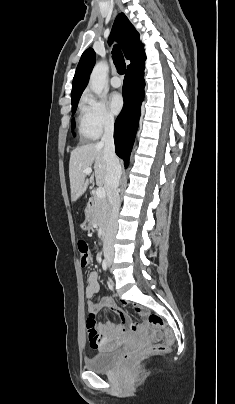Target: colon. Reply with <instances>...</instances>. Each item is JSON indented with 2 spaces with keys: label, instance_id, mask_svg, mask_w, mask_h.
I'll list each match as a JSON object with an SVG mask.
<instances>
[{
  "label": "colon",
  "instance_id": "colon-1",
  "mask_svg": "<svg viewBox=\"0 0 235 404\" xmlns=\"http://www.w3.org/2000/svg\"><path fill=\"white\" fill-rule=\"evenodd\" d=\"M78 252L80 255V265L82 268H86L91 260V251L85 241L78 242ZM135 312L138 316L143 318V321L132 322L130 327L132 329H142L143 327H147V332L152 337V339L156 341L163 340L162 343L153 345L151 350L165 352L173 343L174 337L163 318L155 313H150L146 309L141 307H136ZM95 327V319L89 317L87 320V330L91 343H99L100 341ZM130 359V357H126V360Z\"/></svg>",
  "mask_w": 235,
  "mask_h": 404
}]
</instances>
